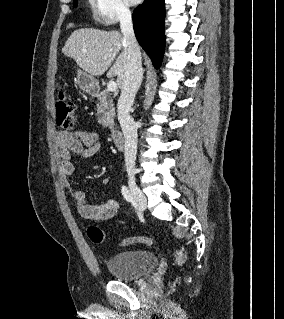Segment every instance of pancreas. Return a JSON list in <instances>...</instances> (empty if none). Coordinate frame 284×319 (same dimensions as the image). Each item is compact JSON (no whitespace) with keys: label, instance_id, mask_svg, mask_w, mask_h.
<instances>
[{"label":"pancreas","instance_id":"1","mask_svg":"<svg viewBox=\"0 0 284 319\" xmlns=\"http://www.w3.org/2000/svg\"><path fill=\"white\" fill-rule=\"evenodd\" d=\"M97 116L98 122L103 126H109L114 122V108L113 100L108 97V92L103 91L100 93L97 103Z\"/></svg>","mask_w":284,"mask_h":319}]
</instances>
